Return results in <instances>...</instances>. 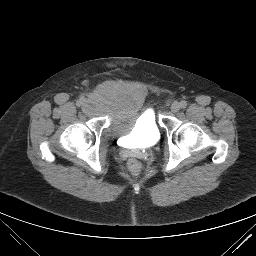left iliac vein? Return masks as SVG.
I'll use <instances>...</instances> for the list:
<instances>
[{
  "mask_svg": "<svg viewBox=\"0 0 256 256\" xmlns=\"http://www.w3.org/2000/svg\"><path fill=\"white\" fill-rule=\"evenodd\" d=\"M180 110V104L178 102H174L171 105V111L172 112H178Z\"/></svg>",
  "mask_w": 256,
  "mask_h": 256,
  "instance_id": "1",
  "label": "left iliac vein"
}]
</instances>
